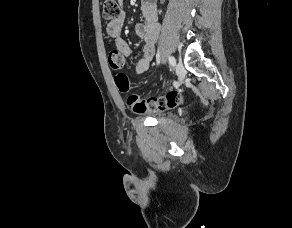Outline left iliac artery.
Instances as JSON below:
<instances>
[{
    "label": "left iliac artery",
    "instance_id": "44dca946",
    "mask_svg": "<svg viewBox=\"0 0 292 228\" xmlns=\"http://www.w3.org/2000/svg\"><path fill=\"white\" fill-rule=\"evenodd\" d=\"M168 60H169V63H170L171 66H175L176 60H175V58L173 56H169Z\"/></svg>",
    "mask_w": 292,
    "mask_h": 228
}]
</instances>
